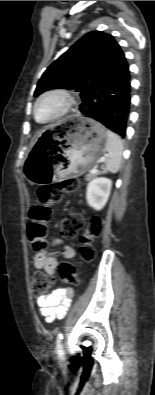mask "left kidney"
I'll list each match as a JSON object with an SVG mask.
<instances>
[{
    "instance_id": "5707ae66",
    "label": "left kidney",
    "mask_w": 155,
    "mask_h": 395,
    "mask_svg": "<svg viewBox=\"0 0 155 395\" xmlns=\"http://www.w3.org/2000/svg\"><path fill=\"white\" fill-rule=\"evenodd\" d=\"M112 187V181L105 177L92 179L86 192V199L89 206L96 210H101L106 205Z\"/></svg>"
}]
</instances>
